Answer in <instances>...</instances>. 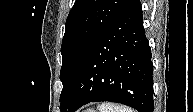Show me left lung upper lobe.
<instances>
[{
    "label": "left lung upper lobe",
    "mask_w": 193,
    "mask_h": 112,
    "mask_svg": "<svg viewBox=\"0 0 193 112\" xmlns=\"http://www.w3.org/2000/svg\"><path fill=\"white\" fill-rule=\"evenodd\" d=\"M132 0H76L65 24L62 39L60 104L66 98L85 56L118 15Z\"/></svg>",
    "instance_id": "1"
}]
</instances>
